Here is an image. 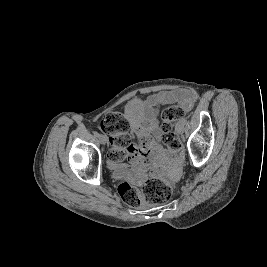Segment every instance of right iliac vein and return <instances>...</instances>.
Returning a JSON list of instances; mask_svg holds the SVG:
<instances>
[{
	"instance_id": "63e3f726",
	"label": "right iliac vein",
	"mask_w": 267,
	"mask_h": 267,
	"mask_svg": "<svg viewBox=\"0 0 267 267\" xmlns=\"http://www.w3.org/2000/svg\"><path fill=\"white\" fill-rule=\"evenodd\" d=\"M99 139L101 141V144H105L107 142V138L104 135H100Z\"/></svg>"
}]
</instances>
